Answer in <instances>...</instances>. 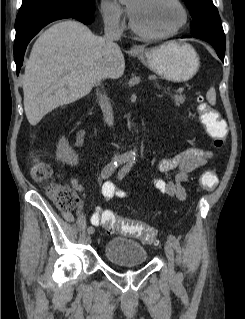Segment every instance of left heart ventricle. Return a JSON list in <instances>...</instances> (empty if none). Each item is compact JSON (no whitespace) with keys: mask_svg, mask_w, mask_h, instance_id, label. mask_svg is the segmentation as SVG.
Listing matches in <instances>:
<instances>
[{"mask_svg":"<svg viewBox=\"0 0 245 319\" xmlns=\"http://www.w3.org/2000/svg\"><path fill=\"white\" fill-rule=\"evenodd\" d=\"M131 17L141 30L163 33L177 27L182 15L172 0H136Z\"/></svg>","mask_w":245,"mask_h":319,"instance_id":"obj_1","label":"left heart ventricle"}]
</instances>
